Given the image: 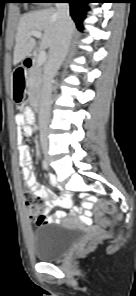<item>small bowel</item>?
Returning <instances> with one entry per match:
<instances>
[{
    "label": "small bowel",
    "instance_id": "1",
    "mask_svg": "<svg viewBox=\"0 0 136 296\" xmlns=\"http://www.w3.org/2000/svg\"><path fill=\"white\" fill-rule=\"evenodd\" d=\"M16 120L22 127V137H29L33 132L32 124L34 121L31 109L26 107L23 113L17 115ZM19 162L24 187L30 189L34 195L45 201L44 213L46 216L54 207L63 209L72 207V202L69 196L63 195L62 197H57L51 190L45 188L37 181L33 172L31 151L25 144H20L19 146ZM47 178L50 182L54 181V177L52 175H49ZM76 210L78 214L82 216L83 222L89 223L91 221V203H82ZM65 216L66 213L64 211H59L55 216H47L45 224L57 223ZM95 216L101 225L108 226L110 224V221L104 218L102 212L96 211Z\"/></svg>",
    "mask_w": 136,
    "mask_h": 296
}]
</instances>
